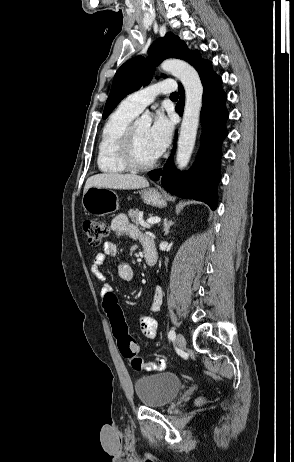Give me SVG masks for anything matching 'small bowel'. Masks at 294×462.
<instances>
[{
    "mask_svg": "<svg viewBox=\"0 0 294 462\" xmlns=\"http://www.w3.org/2000/svg\"><path fill=\"white\" fill-rule=\"evenodd\" d=\"M111 229L118 237L131 236L133 238L140 239L142 245L146 242H152L149 238L141 236L124 214H119L112 220ZM117 253V244L113 242H106L103 246V251L95 256L91 264V273L103 283L100 289V294L103 298L107 294L112 293V288L106 282V277L103 274L101 267L109 257H115ZM118 275L123 281L130 282L134 278V271L128 263L122 262L118 265ZM162 301L163 290L161 287H157L151 298L148 311L156 312L160 308ZM139 320L143 334L149 339H154L157 334V321L149 314H141ZM166 365L167 363L165 359L157 358L153 362H143L142 369L147 371H162L166 368Z\"/></svg>",
    "mask_w": 294,
    "mask_h": 462,
    "instance_id": "obj_1",
    "label": "small bowel"
}]
</instances>
